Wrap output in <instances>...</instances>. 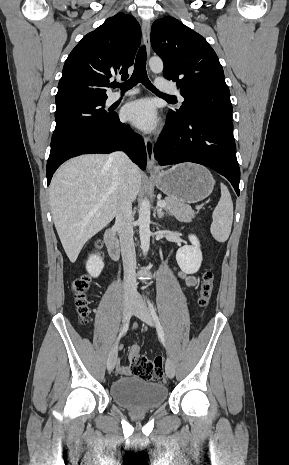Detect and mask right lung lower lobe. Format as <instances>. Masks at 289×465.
<instances>
[{
    "label": "right lung lower lobe",
    "mask_w": 289,
    "mask_h": 465,
    "mask_svg": "<svg viewBox=\"0 0 289 465\" xmlns=\"http://www.w3.org/2000/svg\"><path fill=\"white\" fill-rule=\"evenodd\" d=\"M123 150L141 169L146 167L143 139L120 122L117 114L108 123L79 130L51 145L47 162L48 185L56 169L66 160L91 153H111Z\"/></svg>",
    "instance_id": "1"
}]
</instances>
